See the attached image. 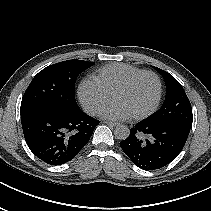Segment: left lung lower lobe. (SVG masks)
<instances>
[{
  "mask_svg": "<svg viewBox=\"0 0 211 211\" xmlns=\"http://www.w3.org/2000/svg\"><path fill=\"white\" fill-rule=\"evenodd\" d=\"M188 135L189 131L176 125L142 120L131 128L129 137L120 146L136 166L156 170L179 155Z\"/></svg>",
  "mask_w": 211,
  "mask_h": 211,
  "instance_id": "0a47b994",
  "label": "left lung lower lobe"
}]
</instances>
